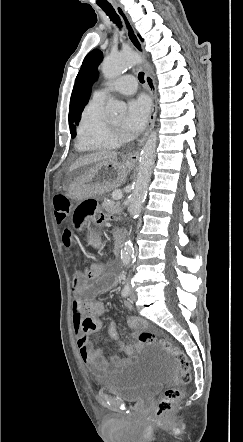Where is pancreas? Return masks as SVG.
<instances>
[{
	"mask_svg": "<svg viewBox=\"0 0 243 442\" xmlns=\"http://www.w3.org/2000/svg\"><path fill=\"white\" fill-rule=\"evenodd\" d=\"M102 208L110 214H117L122 211L121 204L118 201L117 202H110V203L105 201L102 204Z\"/></svg>",
	"mask_w": 243,
	"mask_h": 442,
	"instance_id": "1",
	"label": "pancreas"
}]
</instances>
